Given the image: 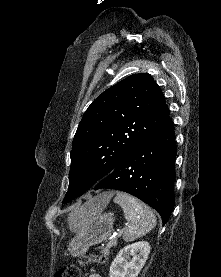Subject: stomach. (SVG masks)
<instances>
[{
    "label": "stomach",
    "instance_id": "1",
    "mask_svg": "<svg viewBox=\"0 0 221 277\" xmlns=\"http://www.w3.org/2000/svg\"><path fill=\"white\" fill-rule=\"evenodd\" d=\"M105 206L90 200L69 218V226L75 234L68 244V252L81 256L90 246L106 240L112 233L114 213L105 212Z\"/></svg>",
    "mask_w": 221,
    "mask_h": 277
}]
</instances>
